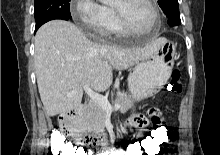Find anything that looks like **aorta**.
Returning a JSON list of instances; mask_svg holds the SVG:
<instances>
[{
    "label": "aorta",
    "instance_id": "762f6f07",
    "mask_svg": "<svg viewBox=\"0 0 220 155\" xmlns=\"http://www.w3.org/2000/svg\"><path fill=\"white\" fill-rule=\"evenodd\" d=\"M103 3L108 4V3H112L113 0H101Z\"/></svg>",
    "mask_w": 220,
    "mask_h": 155
}]
</instances>
